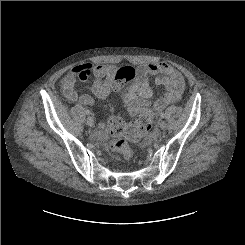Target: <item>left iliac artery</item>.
<instances>
[{
    "label": "left iliac artery",
    "mask_w": 245,
    "mask_h": 245,
    "mask_svg": "<svg viewBox=\"0 0 245 245\" xmlns=\"http://www.w3.org/2000/svg\"><path fill=\"white\" fill-rule=\"evenodd\" d=\"M160 117L163 119L165 117V114L161 113Z\"/></svg>",
    "instance_id": "obj_1"
}]
</instances>
